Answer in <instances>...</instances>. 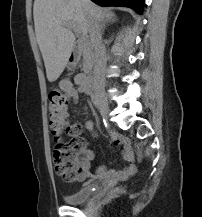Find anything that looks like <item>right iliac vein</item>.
<instances>
[{
    "mask_svg": "<svg viewBox=\"0 0 202 217\" xmlns=\"http://www.w3.org/2000/svg\"><path fill=\"white\" fill-rule=\"evenodd\" d=\"M96 99L98 101L102 116L104 118H107L108 113H109V105H108V101H107L106 97L102 93H97Z\"/></svg>",
    "mask_w": 202,
    "mask_h": 217,
    "instance_id": "1",
    "label": "right iliac vein"
}]
</instances>
